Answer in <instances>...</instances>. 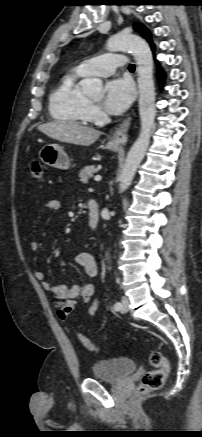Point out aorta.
Returning a JSON list of instances; mask_svg holds the SVG:
<instances>
[{
  "label": "aorta",
  "instance_id": "1",
  "mask_svg": "<svg viewBox=\"0 0 202 437\" xmlns=\"http://www.w3.org/2000/svg\"><path fill=\"white\" fill-rule=\"evenodd\" d=\"M107 49L109 51H129L137 64L141 130L139 137L127 154L120 175V189L123 191L130 186L150 143L156 113L153 57L147 42L130 33L120 32L110 37ZM80 85L82 91L88 96H101L103 94L102 82L98 79H84Z\"/></svg>",
  "mask_w": 202,
  "mask_h": 437
}]
</instances>
